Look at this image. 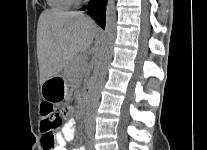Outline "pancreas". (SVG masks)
I'll list each match as a JSON object with an SVG mask.
<instances>
[{"label":"pancreas","instance_id":"1","mask_svg":"<svg viewBox=\"0 0 207 150\" xmlns=\"http://www.w3.org/2000/svg\"><path fill=\"white\" fill-rule=\"evenodd\" d=\"M86 57H79L76 58L67 68L65 71V74L67 75L68 78H70L71 82L76 85L78 84L79 78H81L85 66H86Z\"/></svg>","mask_w":207,"mask_h":150}]
</instances>
